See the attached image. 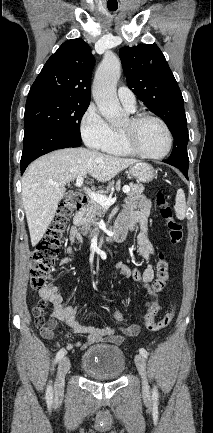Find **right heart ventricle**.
<instances>
[{"instance_id": "e07e8e85", "label": "right heart ventricle", "mask_w": 213, "mask_h": 433, "mask_svg": "<svg viewBox=\"0 0 213 433\" xmlns=\"http://www.w3.org/2000/svg\"><path fill=\"white\" fill-rule=\"evenodd\" d=\"M102 150L108 154L115 156L132 155V153L124 145L119 130H112L111 138Z\"/></svg>"}]
</instances>
